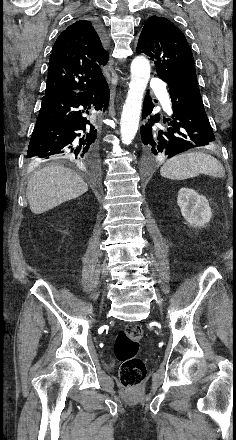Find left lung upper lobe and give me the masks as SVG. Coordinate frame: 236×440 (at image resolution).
Here are the masks:
<instances>
[{"label":"left lung upper lobe","mask_w":236,"mask_h":440,"mask_svg":"<svg viewBox=\"0 0 236 440\" xmlns=\"http://www.w3.org/2000/svg\"><path fill=\"white\" fill-rule=\"evenodd\" d=\"M154 61L158 76L168 83L197 79L193 54L184 34L168 19H147L136 48Z\"/></svg>","instance_id":"obj_1"}]
</instances>
